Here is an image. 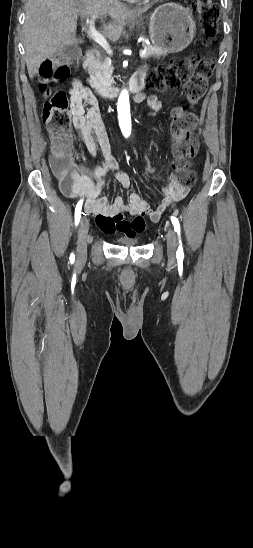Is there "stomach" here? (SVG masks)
Instances as JSON below:
<instances>
[{
  "label": "stomach",
  "mask_w": 253,
  "mask_h": 548,
  "mask_svg": "<svg viewBox=\"0 0 253 548\" xmlns=\"http://www.w3.org/2000/svg\"><path fill=\"white\" fill-rule=\"evenodd\" d=\"M140 25V21H135ZM195 22L188 9L177 3H165L150 16L149 35L151 42L168 52H179L192 41Z\"/></svg>",
  "instance_id": "1"
}]
</instances>
